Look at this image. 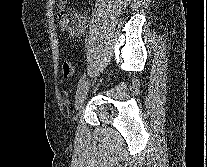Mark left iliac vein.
I'll use <instances>...</instances> for the list:
<instances>
[{
	"label": "left iliac vein",
	"instance_id": "obj_1",
	"mask_svg": "<svg viewBox=\"0 0 207 167\" xmlns=\"http://www.w3.org/2000/svg\"><path fill=\"white\" fill-rule=\"evenodd\" d=\"M88 88H89V82L85 81L81 88L79 89L76 99H75V109L79 110L86 98V95L88 93Z\"/></svg>",
	"mask_w": 207,
	"mask_h": 167
}]
</instances>
